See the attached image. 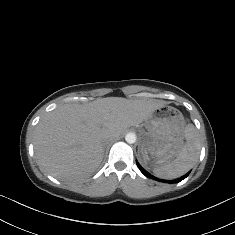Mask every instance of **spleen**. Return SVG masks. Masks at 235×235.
<instances>
[{
	"mask_svg": "<svg viewBox=\"0 0 235 235\" xmlns=\"http://www.w3.org/2000/svg\"><path fill=\"white\" fill-rule=\"evenodd\" d=\"M185 137L187 144L176 159L153 169L157 177L173 179L185 174L196 164L199 157V141L193 124L186 126Z\"/></svg>",
	"mask_w": 235,
	"mask_h": 235,
	"instance_id": "spleen-1",
	"label": "spleen"
}]
</instances>
